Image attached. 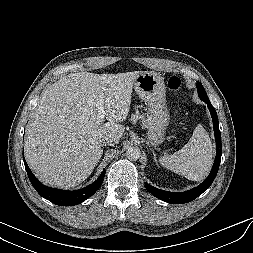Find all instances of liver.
Here are the masks:
<instances>
[{
  "mask_svg": "<svg viewBox=\"0 0 253 253\" xmlns=\"http://www.w3.org/2000/svg\"><path fill=\"white\" fill-rule=\"evenodd\" d=\"M144 72L117 74L78 72L61 77L42 94L27 125L25 158L45 184L75 187L88 178L99 162L101 140L118 143L137 77ZM106 123H98V100Z\"/></svg>",
  "mask_w": 253,
  "mask_h": 253,
  "instance_id": "obj_1",
  "label": "liver"
}]
</instances>
